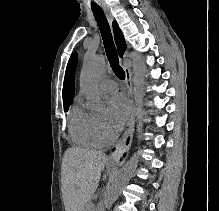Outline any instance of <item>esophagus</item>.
<instances>
[{"mask_svg":"<svg viewBox=\"0 0 219 211\" xmlns=\"http://www.w3.org/2000/svg\"><path fill=\"white\" fill-rule=\"evenodd\" d=\"M104 13L110 24L113 22V16L111 11L107 5H102ZM125 72V85L127 88V96L128 102L130 106V118L127 123V129L124 133V136L121 142L118 144V148L114 153L109 156V162L111 164H117L118 161L123 157L124 153H127L131 147L133 135H134V127H135V118H134V100H133V82H132V74L130 69L127 66H123Z\"/></svg>","mask_w":219,"mask_h":211,"instance_id":"obj_1","label":"esophagus"}]
</instances>
